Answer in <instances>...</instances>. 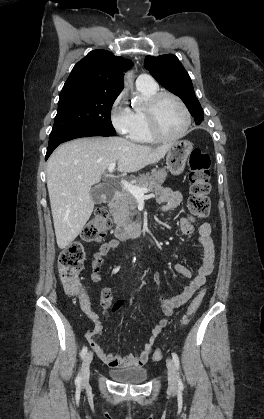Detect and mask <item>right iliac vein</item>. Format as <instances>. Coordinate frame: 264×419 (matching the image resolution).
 <instances>
[{
  "mask_svg": "<svg viewBox=\"0 0 264 419\" xmlns=\"http://www.w3.org/2000/svg\"><path fill=\"white\" fill-rule=\"evenodd\" d=\"M93 355L91 352L87 353L84 357L83 364H82V384L85 385L89 381L90 375V364L92 362Z\"/></svg>",
  "mask_w": 264,
  "mask_h": 419,
  "instance_id": "right-iliac-vein-1",
  "label": "right iliac vein"
}]
</instances>
